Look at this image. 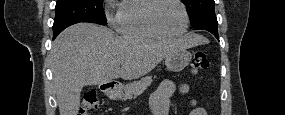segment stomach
Returning a JSON list of instances; mask_svg holds the SVG:
<instances>
[{
    "instance_id": "1",
    "label": "stomach",
    "mask_w": 285,
    "mask_h": 115,
    "mask_svg": "<svg viewBox=\"0 0 285 115\" xmlns=\"http://www.w3.org/2000/svg\"><path fill=\"white\" fill-rule=\"evenodd\" d=\"M192 55L185 50H179L165 58V65L171 72L182 71L190 62ZM123 86H114L105 90V94L113 100L119 99L123 95Z\"/></svg>"
}]
</instances>
